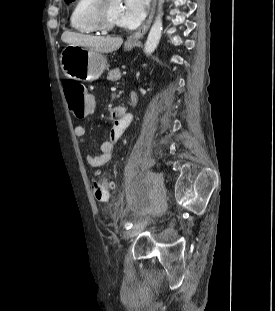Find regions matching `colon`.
<instances>
[{"label":"colon","instance_id":"obj_1","mask_svg":"<svg viewBox=\"0 0 275 311\" xmlns=\"http://www.w3.org/2000/svg\"><path fill=\"white\" fill-rule=\"evenodd\" d=\"M64 89L69 109L77 116V120L85 121L86 117H91L95 106L94 92H88L84 85L72 80L65 82ZM92 190L98 201L109 199V185L101 176L94 178Z\"/></svg>","mask_w":275,"mask_h":311}]
</instances>
